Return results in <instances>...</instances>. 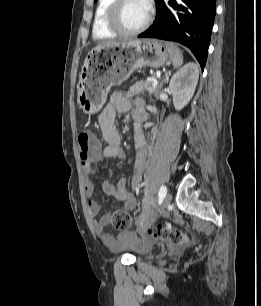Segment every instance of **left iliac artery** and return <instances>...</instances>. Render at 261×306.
I'll use <instances>...</instances> for the list:
<instances>
[{
  "label": "left iliac artery",
  "mask_w": 261,
  "mask_h": 306,
  "mask_svg": "<svg viewBox=\"0 0 261 306\" xmlns=\"http://www.w3.org/2000/svg\"><path fill=\"white\" fill-rule=\"evenodd\" d=\"M166 193H167V188H166V186L162 185L160 187L159 194H158L159 198H164Z\"/></svg>",
  "instance_id": "44dca946"
}]
</instances>
